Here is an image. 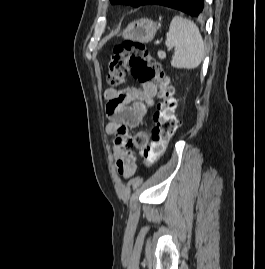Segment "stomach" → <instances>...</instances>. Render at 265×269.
<instances>
[{
  "label": "stomach",
  "mask_w": 265,
  "mask_h": 269,
  "mask_svg": "<svg viewBox=\"0 0 265 269\" xmlns=\"http://www.w3.org/2000/svg\"><path fill=\"white\" fill-rule=\"evenodd\" d=\"M158 29L159 25L151 19L141 18L129 23L124 29L122 37L132 41L148 43L154 38Z\"/></svg>",
  "instance_id": "stomach-1"
}]
</instances>
